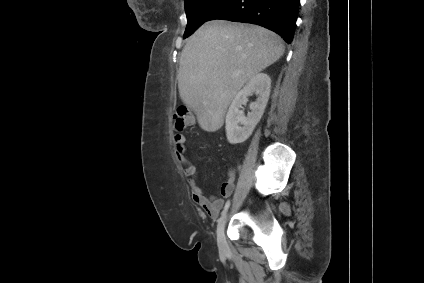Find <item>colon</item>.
<instances>
[{"label":"colon","instance_id":"5ec220e1","mask_svg":"<svg viewBox=\"0 0 424 283\" xmlns=\"http://www.w3.org/2000/svg\"><path fill=\"white\" fill-rule=\"evenodd\" d=\"M191 122L189 109L186 106L177 108L173 115V127L176 132L185 130Z\"/></svg>","mask_w":424,"mask_h":283}]
</instances>
